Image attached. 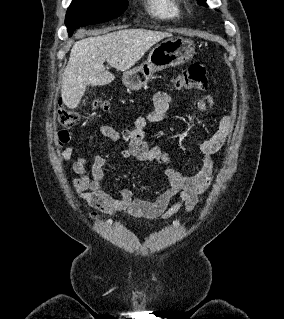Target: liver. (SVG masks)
<instances>
[{
    "mask_svg": "<svg viewBox=\"0 0 284 319\" xmlns=\"http://www.w3.org/2000/svg\"><path fill=\"white\" fill-rule=\"evenodd\" d=\"M103 35L81 39L74 43L64 70L61 87L63 103L75 109L87 86L106 85L115 79L104 62L119 70L127 71L157 42L171 33L147 29H122Z\"/></svg>",
    "mask_w": 284,
    "mask_h": 319,
    "instance_id": "1",
    "label": "liver"
}]
</instances>
